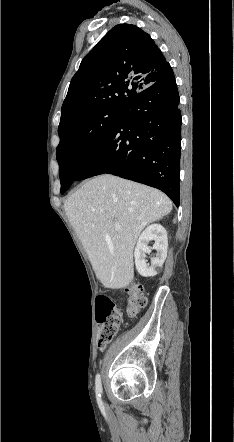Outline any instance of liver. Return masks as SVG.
I'll use <instances>...</instances> for the list:
<instances>
[{
	"label": "liver",
	"instance_id": "1",
	"mask_svg": "<svg viewBox=\"0 0 234 442\" xmlns=\"http://www.w3.org/2000/svg\"><path fill=\"white\" fill-rule=\"evenodd\" d=\"M64 208L97 278L120 289L134 278L133 249L141 231L168 215L172 203L157 189L105 174L85 182Z\"/></svg>",
	"mask_w": 234,
	"mask_h": 442
}]
</instances>
